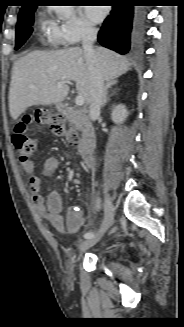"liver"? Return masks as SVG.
Here are the masks:
<instances>
[{"label": "liver", "mask_w": 184, "mask_h": 327, "mask_svg": "<svg viewBox=\"0 0 184 327\" xmlns=\"http://www.w3.org/2000/svg\"><path fill=\"white\" fill-rule=\"evenodd\" d=\"M104 81L115 84L129 68L126 57L103 47L96 50ZM90 104L91 81L84 50L70 47L57 51H33L18 59L12 69L9 111L16 120L28 107L59 104L68 95L69 81ZM61 83L60 88L57 84Z\"/></svg>", "instance_id": "obj_1"}]
</instances>
